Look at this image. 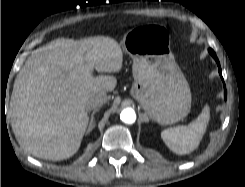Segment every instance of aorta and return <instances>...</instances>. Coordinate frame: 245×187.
<instances>
[{
  "mask_svg": "<svg viewBox=\"0 0 245 187\" xmlns=\"http://www.w3.org/2000/svg\"><path fill=\"white\" fill-rule=\"evenodd\" d=\"M120 119L126 124H133L136 121L135 111L131 108L124 109L120 114Z\"/></svg>",
  "mask_w": 245,
  "mask_h": 187,
  "instance_id": "aorta-1",
  "label": "aorta"
}]
</instances>
